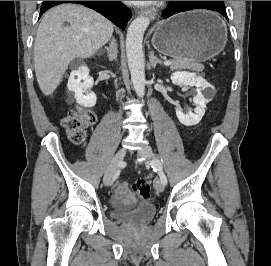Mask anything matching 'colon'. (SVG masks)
Wrapping results in <instances>:
<instances>
[{
	"label": "colon",
	"mask_w": 271,
	"mask_h": 266,
	"mask_svg": "<svg viewBox=\"0 0 271 266\" xmlns=\"http://www.w3.org/2000/svg\"><path fill=\"white\" fill-rule=\"evenodd\" d=\"M95 112L77 107L63 119L62 124L70 141L81 145L86 140V129L95 121ZM133 191L142 198L150 196V185L144 179H138L132 186Z\"/></svg>",
	"instance_id": "obj_1"
}]
</instances>
